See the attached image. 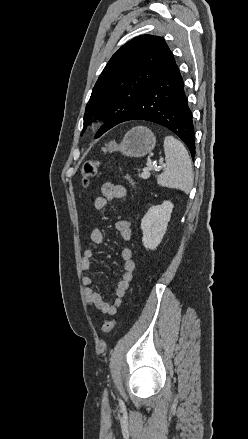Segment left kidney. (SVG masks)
<instances>
[{
  "instance_id": "1",
  "label": "left kidney",
  "mask_w": 248,
  "mask_h": 439,
  "mask_svg": "<svg viewBox=\"0 0 248 439\" xmlns=\"http://www.w3.org/2000/svg\"><path fill=\"white\" fill-rule=\"evenodd\" d=\"M173 207L170 201H164L161 205L152 206L142 218V242L146 250H155L160 244L167 230Z\"/></svg>"
}]
</instances>
